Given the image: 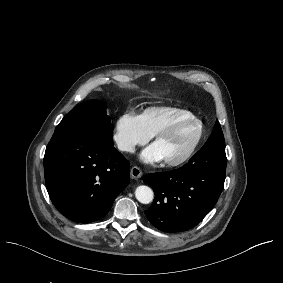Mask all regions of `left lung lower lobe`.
<instances>
[{
	"instance_id": "0a47b994",
	"label": "left lung lower lobe",
	"mask_w": 283,
	"mask_h": 283,
	"mask_svg": "<svg viewBox=\"0 0 283 283\" xmlns=\"http://www.w3.org/2000/svg\"><path fill=\"white\" fill-rule=\"evenodd\" d=\"M227 158L225 146H204L179 169L144 176L155 192L144 211L157 229L181 232L197 225L215 206L223 190Z\"/></svg>"
}]
</instances>
